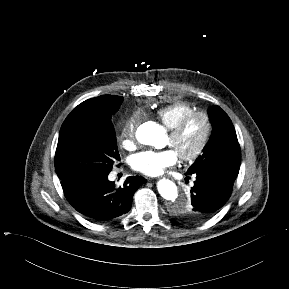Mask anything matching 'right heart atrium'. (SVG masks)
<instances>
[{
    "instance_id": "obj_1",
    "label": "right heart atrium",
    "mask_w": 289,
    "mask_h": 289,
    "mask_svg": "<svg viewBox=\"0 0 289 289\" xmlns=\"http://www.w3.org/2000/svg\"><path fill=\"white\" fill-rule=\"evenodd\" d=\"M136 118H130L122 130V145L124 148L131 149L134 146L133 134L136 127Z\"/></svg>"
}]
</instances>
